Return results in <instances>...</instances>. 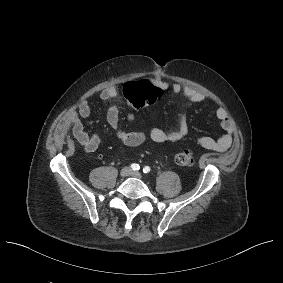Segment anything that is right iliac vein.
Wrapping results in <instances>:
<instances>
[{"mask_svg": "<svg viewBox=\"0 0 283 283\" xmlns=\"http://www.w3.org/2000/svg\"><path fill=\"white\" fill-rule=\"evenodd\" d=\"M131 169L129 167H123L120 171L121 177H127L131 174Z\"/></svg>", "mask_w": 283, "mask_h": 283, "instance_id": "obj_1", "label": "right iliac vein"}]
</instances>
